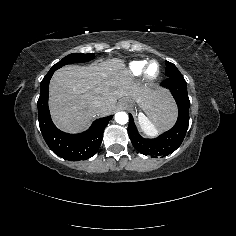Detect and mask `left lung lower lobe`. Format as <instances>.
Masks as SVG:
<instances>
[{"instance_id":"left-lung-lower-lobe-1","label":"left lung lower lobe","mask_w":236,"mask_h":236,"mask_svg":"<svg viewBox=\"0 0 236 236\" xmlns=\"http://www.w3.org/2000/svg\"><path fill=\"white\" fill-rule=\"evenodd\" d=\"M161 85L168 88L178 105V120L173 128L155 139L142 138L134 124L133 117L129 114L128 134L135 149L143 155L157 158L174 152L182 143L189 125L190 101L187 92V83L182 77H170Z\"/></svg>"}]
</instances>
